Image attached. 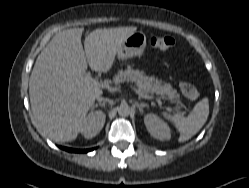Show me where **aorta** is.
<instances>
[{"label":"aorta","instance_id":"aorta-1","mask_svg":"<svg viewBox=\"0 0 249 188\" xmlns=\"http://www.w3.org/2000/svg\"><path fill=\"white\" fill-rule=\"evenodd\" d=\"M118 114L122 117H127L130 114V107L127 104H121L118 107Z\"/></svg>","mask_w":249,"mask_h":188}]
</instances>
